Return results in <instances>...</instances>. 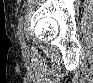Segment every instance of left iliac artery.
Instances as JSON below:
<instances>
[{
	"mask_svg": "<svg viewBox=\"0 0 93 83\" xmlns=\"http://www.w3.org/2000/svg\"><path fill=\"white\" fill-rule=\"evenodd\" d=\"M23 17L21 16L19 18V23H18V26H17V29H18V37H19V40L22 44H24V35H23V21H22Z\"/></svg>",
	"mask_w": 93,
	"mask_h": 83,
	"instance_id": "left-iliac-artery-1",
	"label": "left iliac artery"
}]
</instances>
